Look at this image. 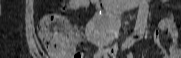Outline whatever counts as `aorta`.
Wrapping results in <instances>:
<instances>
[{"label":"aorta","mask_w":181,"mask_h":58,"mask_svg":"<svg viewBox=\"0 0 181 58\" xmlns=\"http://www.w3.org/2000/svg\"><path fill=\"white\" fill-rule=\"evenodd\" d=\"M149 15V4L148 0H141L138 8L136 23L134 31L137 33H144Z\"/></svg>","instance_id":"aorta-1"}]
</instances>
